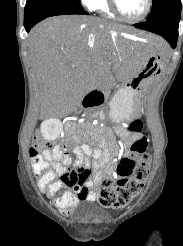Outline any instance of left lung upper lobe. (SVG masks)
Instances as JSON below:
<instances>
[{"label":"left lung upper lobe","mask_w":183,"mask_h":246,"mask_svg":"<svg viewBox=\"0 0 183 246\" xmlns=\"http://www.w3.org/2000/svg\"><path fill=\"white\" fill-rule=\"evenodd\" d=\"M181 0H153L152 10L147 19H153Z\"/></svg>","instance_id":"5c2ea615"}]
</instances>
